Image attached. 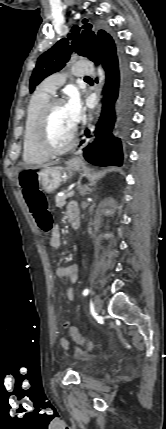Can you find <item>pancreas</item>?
<instances>
[{"label":"pancreas","mask_w":166,"mask_h":429,"mask_svg":"<svg viewBox=\"0 0 166 429\" xmlns=\"http://www.w3.org/2000/svg\"><path fill=\"white\" fill-rule=\"evenodd\" d=\"M66 199H67V194L63 196H56L55 197L56 207L62 208L66 204Z\"/></svg>","instance_id":"pancreas-1"}]
</instances>
